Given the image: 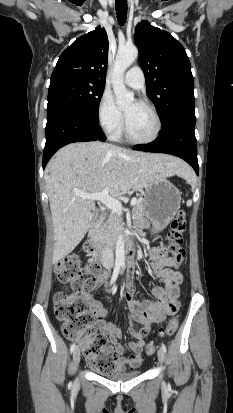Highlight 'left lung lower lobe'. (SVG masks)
I'll return each instance as SVG.
<instances>
[{"label": "left lung lower lobe", "instance_id": "left-lung-lower-lobe-1", "mask_svg": "<svg viewBox=\"0 0 233 413\" xmlns=\"http://www.w3.org/2000/svg\"><path fill=\"white\" fill-rule=\"evenodd\" d=\"M194 129L195 119L179 116L162 125L161 134L155 141L133 149L178 156L189 163L198 175L197 141Z\"/></svg>", "mask_w": 233, "mask_h": 413}]
</instances>
